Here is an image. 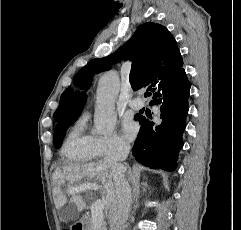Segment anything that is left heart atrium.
Wrapping results in <instances>:
<instances>
[{"instance_id":"left-heart-atrium-1","label":"left heart atrium","mask_w":241,"mask_h":230,"mask_svg":"<svg viewBox=\"0 0 241 230\" xmlns=\"http://www.w3.org/2000/svg\"><path fill=\"white\" fill-rule=\"evenodd\" d=\"M122 132L126 138L132 140L137 134V125L132 121V119L126 116L122 122Z\"/></svg>"}]
</instances>
